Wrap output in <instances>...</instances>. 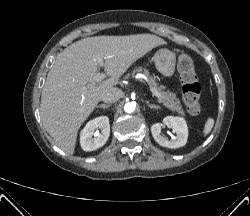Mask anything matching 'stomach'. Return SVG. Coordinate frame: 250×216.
<instances>
[{"label": "stomach", "mask_w": 250, "mask_h": 216, "mask_svg": "<svg viewBox=\"0 0 250 216\" xmlns=\"http://www.w3.org/2000/svg\"><path fill=\"white\" fill-rule=\"evenodd\" d=\"M153 61L157 70L167 78H170L175 73L176 55L168 49H161L156 52Z\"/></svg>", "instance_id": "1"}]
</instances>
